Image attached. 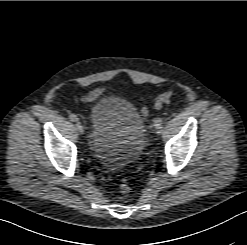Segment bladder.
<instances>
[{
    "mask_svg": "<svg viewBox=\"0 0 247 245\" xmlns=\"http://www.w3.org/2000/svg\"><path fill=\"white\" fill-rule=\"evenodd\" d=\"M90 140L94 154L108 168L135 163L146 145V127L135 106L126 99L106 96L90 111Z\"/></svg>",
    "mask_w": 247,
    "mask_h": 245,
    "instance_id": "obj_1",
    "label": "bladder"
}]
</instances>
